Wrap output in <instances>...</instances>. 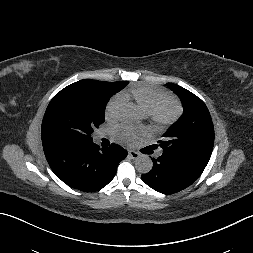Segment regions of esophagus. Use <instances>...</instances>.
Segmentation results:
<instances>
[{"label":"esophagus","mask_w":253,"mask_h":253,"mask_svg":"<svg viewBox=\"0 0 253 253\" xmlns=\"http://www.w3.org/2000/svg\"><path fill=\"white\" fill-rule=\"evenodd\" d=\"M128 155L132 158V159H137L139 158L140 154L134 150H129L128 151Z\"/></svg>","instance_id":"obj_1"}]
</instances>
